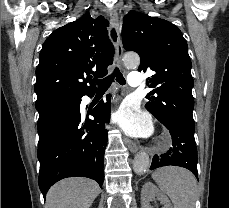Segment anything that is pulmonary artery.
<instances>
[{"instance_id":"pulmonary-artery-1","label":"pulmonary artery","mask_w":229,"mask_h":208,"mask_svg":"<svg viewBox=\"0 0 229 208\" xmlns=\"http://www.w3.org/2000/svg\"><path fill=\"white\" fill-rule=\"evenodd\" d=\"M143 76V72H132L128 75L127 82L131 87L139 86L142 83L141 77Z\"/></svg>"}]
</instances>
